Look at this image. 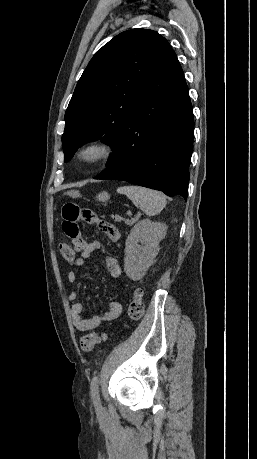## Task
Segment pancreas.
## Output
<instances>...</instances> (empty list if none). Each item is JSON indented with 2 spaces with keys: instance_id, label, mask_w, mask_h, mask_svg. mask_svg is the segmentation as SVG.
<instances>
[{
  "instance_id": "cf45deb5",
  "label": "pancreas",
  "mask_w": 257,
  "mask_h": 459,
  "mask_svg": "<svg viewBox=\"0 0 257 459\" xmlns=\"http://www.w3.org/2000/svg\"><path fill=\"white\" fill-rule=\"evenodd\" d=\"M111 217H112V219H114V221H116V222H120V221L122 220V218H121L119 215H112Z\"/></svg>"
}]
</instances>
